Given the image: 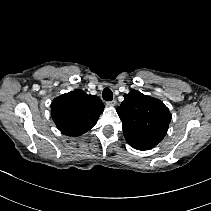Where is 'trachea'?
<instances>
[{"label":"trachea","mask_w":211,"mask_h":211,"mask_svg":"<svg viewBox=\"0 0 211 211\" xmlns=\"http://www.w3.org/2000/svg\"><path fill=\"white\" fill-rule=\"evenodd\" d=\"M102 97L105 101H112L113 92L109 88H105L102 92Z\"/></svg>","instance_id":"3493384b"}]
</instances>
